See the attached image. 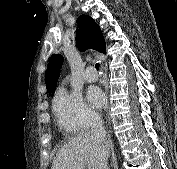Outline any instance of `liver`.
Returning a JSON list of instances; mask_svg holds the SVG:
<instances>
[{"instance_id": "1", "label": "liver", "mask_w": 177, "mask_h": 169, "mask_svg": "<svg viewBox=\"0 0 177 169\" xmlns=\"http://www.w3.org/2000/svg\"><path fill=\"white\" fill-rule=\"evenodd\" d=\"M109 147V142L105 146L91 132L81 133L58 151L51 169H103Z\"/></svg>"}]
</instances>
